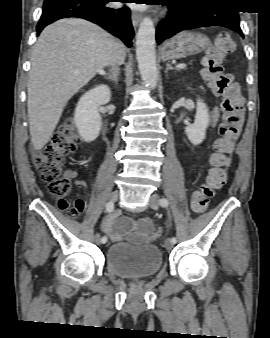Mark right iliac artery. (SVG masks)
<instances>
[{
	"instance_id": "82829eb1",
	"label": "right iliac artery",
	"mask_w": 270,
	"mask_h": 338,
	"mask_svg": "<svg viewBox=\"0 0 270 338\" xmlns=\"http://www.w3.org/2000/svg\"><path fill=\"white\" fill-rule=\"evenodd\" d=\"M113 209H114V202H112V201L108 202L107 205H106V211H107L108 213H110V212L113 211ZM101 242H102V243H106V242H107V237H106V236H103V237L101 238Z\"/></svg>"
}]
</instances>
